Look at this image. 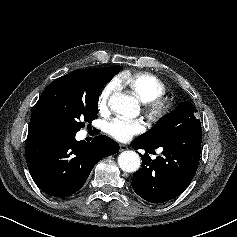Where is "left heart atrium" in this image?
Instances as JSON below:
<instances>
[{"mask_svg":"<svg viewBox=\"0 0 237 237\" xmlns=\"http://www.w3.org/2000/svg\"><path fill=\"white\" fill-rule=\"evenodd\" d=\"M144 124L139 120L114 118L107 123V133L121 142L129 141L134 135L144 131Z\"/></svg>","mask_w":237,"mask_h":237,"instance_id":"1","label":"left heart atrium"}]
</instances>
